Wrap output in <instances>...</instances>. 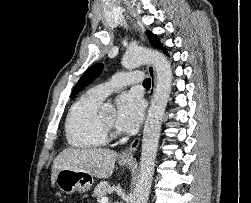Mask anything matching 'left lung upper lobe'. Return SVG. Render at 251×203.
Instances as JSON below:
<instances>
[{
    "instance_id": "5c2ea615",
    "label": "left lung upper lobe",
    "mask_w": 251,
    "mask_h": 203,
    "mask_svg": "<svg viewBox=\"0 0 251 203\" xmlns=\"http://www.w3.org/2000/svg\"><path fill=\"white\" fill-rule=\"evenodd\" d=\"M146 34L153 47L157 49L162 48V44L160 43L156 35H154L150 31H147ZM102 69H103V64L101 63H97L91 66L79 79L78 83L76 84L71 93V97L77 95L83 88L89 85L102 72Z\"/></svg>"
}]
</instances>
